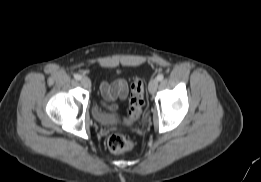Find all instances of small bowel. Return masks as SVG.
Segmentation results:
<instances>
[{
	"label": "small bowel",
	"mask_w": 261,
	"mask_h": 182,
	"mask_svg": "<svg viewBox=\"0 0 261 182\" xmlns=\"http://www.w3.org/2000/svg\"><path fill=\"white\" fill-rule=\"evenodd\" d=\"M100 93L103 102L113 108L112 102L120 99L125 100L128 96V86L125 80L114 78L110 82H103L100 85Z\"/></svg>",
	"instance_id": "1"
}]
</instances>
